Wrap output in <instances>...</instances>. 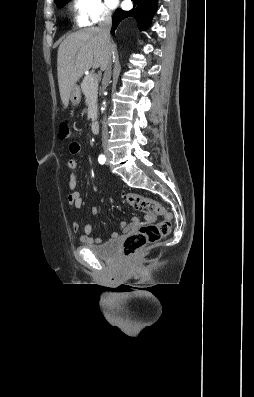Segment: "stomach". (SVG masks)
<instances>
[{
    "label": "stomach",
    "instance_id": "0dacf381",
    "mask_svg": "<svg viewBox=\"0 0 254 397\" xmlns=\"http://www.w3.org/2000/svg\"><path fill=\"white\" fill-rule=\"evenodd\" d=\"M81 100V90L78 85H74L70 91V101L72 104L76 105Z\"/></svg>",
    "mask_w": 254,
    "mask_h": 397
}]
</instances>
